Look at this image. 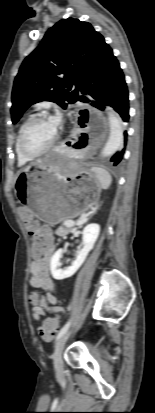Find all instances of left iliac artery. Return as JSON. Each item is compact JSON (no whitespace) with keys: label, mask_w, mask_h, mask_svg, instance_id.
I'll list each match as a JSON object with an SVG mask.
<instances>
[{"label":"left iliac artery","mask_w":155,"mask_h":413,"mask_svg":"<svg viewBox=\"0 0 155 413\" xmlns=\"http://www.w3.org/2000/svg\"><path fill=\"white\" fill-rule=\"evenodd\" d=\"M70 324H71V320H69V321L61 328V330L59 331V333H58V335H57V337H56V340H58V339L69 329Z\"/></svg>","instance_id":"obj_1"}]
</instances>
